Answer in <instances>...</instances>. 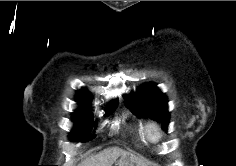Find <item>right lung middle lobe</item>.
Wrapping results in <instances>:
<instances>
[{
	"label": "right lung middle lobe",
	"instance_id": "right-lung-middle-lobe-1",
	"mask_svg": "<svg viewBox=\"0 0 236 166\" xmlns=\"http://www.w3.org/2000/svg\"><path fill=\"white\" fill-rule=\"evenodd\" d=\"M117 105L109 107L106 109L105 116L110 115ZM73 122L75 123V129L72 132L71 138L76 140H82L83 142L92 140L95 135L89 132V128L93 124L92 116L87 109H78L74 113Z\"/></svg>",
	"mask_w": 236,
	"mask_h": 166
}]
</instances>
